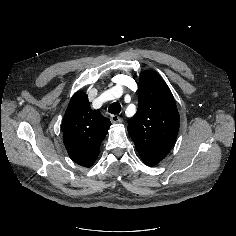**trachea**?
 <instances>
[{
  "instance_id": "1",
  "label": "trachea",
  "mask_w": 236,
  "mask_h": 236,
  "mask_svg": "<svg viewBox=\"0 0 236 236\" xmlns=\"http://www.w3.org/2000/svg\"><path fill=\"white\" fill-rule=\"evenodd\" d=\"M120 111H121V105L118 102L112 103L108 108V112L111 114H119Z\"/></svg>"
}]
</instances>
